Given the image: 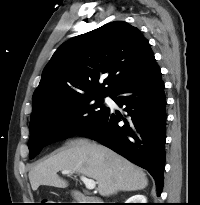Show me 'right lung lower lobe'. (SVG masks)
<instances>
[{"label": "right lung lower lobe", "mask_w": 200, "mask_h": 205, "mask_svg": "<svg viewBox=\"0 0 200 205\" xmlns=\"http://www.w3.org/2000/svg\"><path fill=\"white\" fill-rule=\"evenodd\" d=\"M112 99L118 106H125V113L108 109L78 135L98 141L146 169L155 180L159 196L166 157V97L156 61L116 90Z\"/></svg>", "instance_id": "right-lung-lower-lobe-1"}]
</instances>
